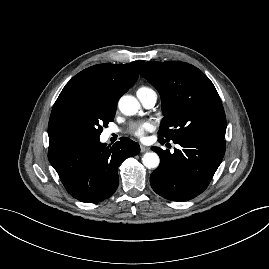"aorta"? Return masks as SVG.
Returning a JSON list of instances; mask_svg holds the SVG:
<instances>
[{"mask_svg":"<svg viewBox=\"0 0 269 269\" xmlns=\"http://www.w3.org/2000/svg\"><path fill=\"white\" fill-rule=\"evenodd\" d=\"M120 111L127 116L135 115L140 110V103L138 100L130 95L120 98L118 102ZM143 165L148 169H155L159 166L160 158L155 152H147L142 157Z\"/></svg>","mask_w":269,"mask_h":269,"instance_id":"aorta-1","label":"aorta"}]
</instances>
